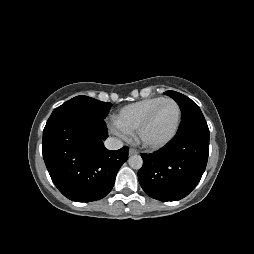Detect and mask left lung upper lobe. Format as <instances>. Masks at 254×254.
Segmentation results:
<instances>
[{"label": "left lung upper lobe", "mask_w": 254, "mask_h": 254, "mask_svg": "<svg viewBox=\"0 0 254 254\" xmlns=\"http://www.w3.org/2000/svg\"><path fill=\"white\" fill-rule=\"evenodd\" d=\"M164 94L174 99L181 108L182 121L178 132L192 127H208L199 106L194 101L175 91H166Z\"/></svg>", "instance_id": "5c2ea615"}]
</instances>
